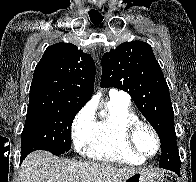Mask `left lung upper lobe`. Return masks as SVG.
I'll use <instances>...</instances> for the list:
<instances>
[{
  "label": "left lung upper lobe",
  "instance_id": "left-lung-upper-lobe-1",
  "mask_svg": "<svg viewBox=\"0 0 196 182\" xmlns=\"http://www.w3.org/2000/svg\"><path fill=\"white\" fill-rule=\"evenodd\" d=\"M101 87L126 91L157 132L162 148L178 153L174 127V112L168 85L152 48L142 41L125 42L102 56ZM175 162L162 161L159 166L174 172L180 169Z\"/></svg>",
  "mask_w": 196,
  "mask_h": 182
}]
</instances>
